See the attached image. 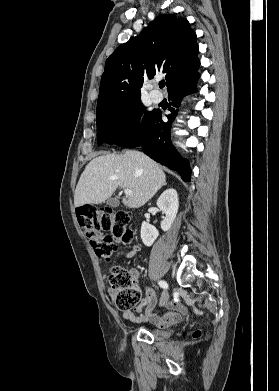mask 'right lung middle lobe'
<instances>
[{
	"label": "right lung middle lobe",
	"instance_id": "dd1d6c3e",
	"mask_svg": "<svg viewBox=\"0 0 279 391\" xmlns=\"http://www.w3.org/2000/svg\"><path fill=\"white\" fill-rule=\"evenodd\" d=\"M153 111L145 112L141 100L110 108L97 113L98 144H114L133 128L137 127L139 118L145 120Z\"/></svg>",
	"mask_w": 279,
	"mask_h": 391
}]
</instances>
